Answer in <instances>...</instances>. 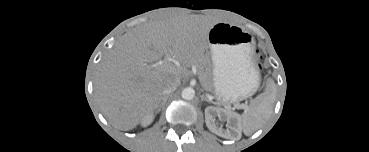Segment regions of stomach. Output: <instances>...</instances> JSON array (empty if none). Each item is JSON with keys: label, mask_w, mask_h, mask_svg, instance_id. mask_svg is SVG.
<instances>
[{"label": "stomach", "mask_w": 369, "mask_h": 152, "mask_svg": "<svg viewBox=\"0 0 369 152\" xmlns=\"http://www.w3.org/2000/svg\"><path fill=\"white\" fill-rule=\"evenodd\" d=\"M216 96L223 103L235 102L255 92L258 72L250 60V35L238 26L219 22L208 32Z\"/></svg>", "instance_id": "0dacf381"}]
</instances>
